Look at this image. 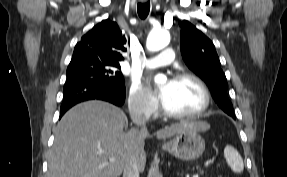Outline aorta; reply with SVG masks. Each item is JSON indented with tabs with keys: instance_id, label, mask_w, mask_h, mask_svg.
Returning a JSON list of instances; mask_svg holds the SVG:
<instances>
[{
	"instance_id": "1",
	"label": "aorta",
	"mask_w": 287,
	"mask_h": 177,
	"mask_svg": "<svg viewBox=\"0 0 287 177\" xmlns=\"http://www.w3.org/2000/svg\"><path fill=\"white\" fill-rule=\"evenodd\" d=\"M170 42V35L167 31H151L147 37L146 47L149 51H159L165 48ZM166 81L164 75H158L155 77L156 83H163Z\"/></svg>"
}]
</instances>
